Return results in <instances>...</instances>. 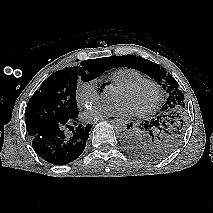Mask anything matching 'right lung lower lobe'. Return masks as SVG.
Returning <instances> with one entry per match:
<instances>
[{
  "label": "right lung lower lobe",
  "mask_w": 213,
  "mask_h": 213,
  "mask_svg": "<svg viewBox=\"0 0 213 213\" xmlns=\"http://www.w3.org/2000/svg\"><path fill=\"white\" fill-rule=\"evenodd\" d=\"M78 114L46 124L31 134L33 149L42 159L54 165H65L81 155L92 125L78 124Z\"/></svg>",
  "instance_id": "1"
}]
</instances>
